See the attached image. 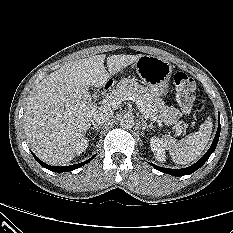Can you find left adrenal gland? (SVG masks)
Segmentation results:
<instances>
[{"label":"left adrenal gland","instance_id":"1","mask_svg":"<svg viewBox=\"0 0 233 233\" xmlns=\"http://www.w3.org/2000/svg\"><path fill=\"white\" fill-rule=\"evenodd\" d=\"M141 122H142V130H143V131H145V130H148V131H149L150 129L153 128V125H152V124L147 125L146 120H145L143 117H141ZM143 134H144V132H143Z\"/></svg>","mask_w":233,"mask_h":233}]
</instances>
